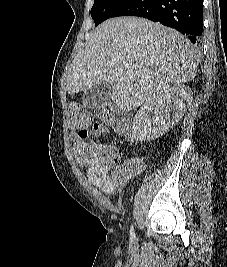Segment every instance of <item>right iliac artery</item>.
<instances>
[{
	"label": "right iliac artery",
	"mask_w": 227,
	"mask_h": 267,
	"mask_svg": "<svg viewBox=\"0 0 227 267\" xmlns=\"http://www.w3.org/2000/svg\"><path fill=\"white\" fill-rule=\"evenodd\" d=\"M130 237H131V239L135 238V232H134V229H133V225L131 226V229H130Z\"/></svg>",
	"instance_id": "right-iliac-artery-1"
}]
</instances>
